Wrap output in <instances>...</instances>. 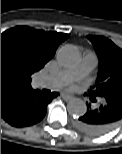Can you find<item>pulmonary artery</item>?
<instances>
[{
    "label": "pulmonary artery",
    "mask_w": 122,
    "mask_h": 154,
    "mask_svg": "<svg viewBox=\"0 0 122 154\" xmlns=\"http://www.w3.org/2000/svg\"><path fill=\"white\" fill-rule=\"evenodd\" d=\"M98 65V57L92 52H87L81 60L71 68L64 69L54 74L42 76L39 85L42 88L58 89L74 80L87 77Z\"/></svg>",
    "instance_id": "obj_1"
}]
</instances>
